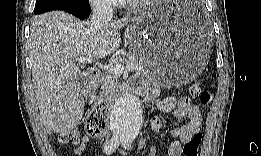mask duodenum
<instances>
[{
  "label": "duodenum",
  "instance_id": "duodenum-1",
  "mask_svg": "<svg viewBox=\"0 0 261 156\" xmlns=\"http://www.w3.org/2000/svg\"><path fill=\"white\" fill-rule=\"evenodd\" d=\"M88 75L91 79L97 80L100 76V72H99V70H97L95 68H90L88 70ZM126 90L129 91L131 94H135V88L133 87V85L131 83L126 85ZM115 99H116L115 96H111V97L103 99L98 104L105 106V107L112 106L113 103L115 102Z\"/></svg>",
  "mask_w": 261,
  "mask_h": 156
}]
</instances>
